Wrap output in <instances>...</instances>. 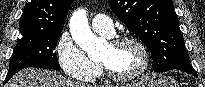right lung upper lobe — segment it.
<instances>
[{
	"label": "right lung upper lobe",
	"mask_w": 205,
	"mask_h": 87,
	"mask_svg": "<svg viewBox=\"0 0 205 87\" xmlns=\"http://www.w3.org/2000/svg\"><path fill=\"white\" fill-rule=\"evenodd\" d=\"M73 0H32L24 7L20 32L62 31Z\"/></svg>",
	"instance_id": "cb5924a9"
}]
</instances>
